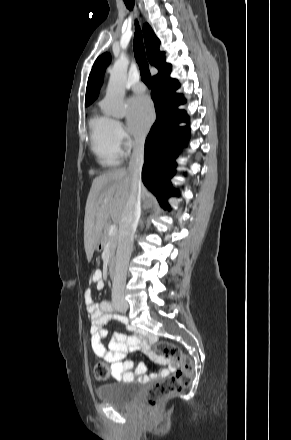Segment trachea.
Listing matches in <instances>:
<instances>
[{
    "mask_svg": "<svg viewBox=\"0 0 291 440\" xmlns=\"http://www.w3.org/2000/svg\"><path fill=\"white\" fill-rule=\"evenodd\" d=\"M124 3L129 10L133 9L134 0H124ZM135 25H136V31H135L134 42H133V49H134L135 58H136V61L139 65V68H140L141 79L144 81V83L148 87H151V74L148 69V64H147L146 58H145V50H144V45H143V41H142L141 30L138 26L137 21L135 22Z\"/></svg>",
    "mask_w": 291,
    "mask_h": 440,
    "instance_id": "trachea-1",
    "label": "trachea"
}]
</instances>
